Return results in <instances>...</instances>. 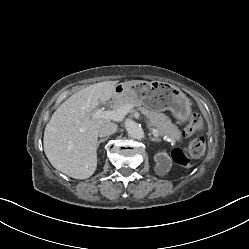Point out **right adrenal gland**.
<instances>
[{"label": "right adrenal gland", "instance_id": "1", "mask_svg": "<svg viewBox=\"0 0 249 249\" xmlns=\"http://www.w3.org/2000/svg\"><path fill=\"white\" fill-rule=\"evenodd\" d=\"M108 138L100 139L97 141V148L99 147V144L102 142H105Z\"/></svg>", "mask_w": 249, "mask_h": 249}]
</instances>
